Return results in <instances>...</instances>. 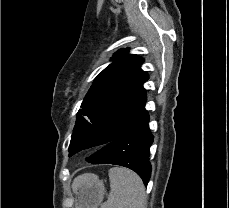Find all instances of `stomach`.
<instances>
[{
    "label": "stomach",
    "instance_id": "1",
    "mask_svg": "<svg viewBox=\"0 0 229 208\" xmlns=\"http://www.w3.org/2000/svg\"><path fill=\"white\" fill-rule=\"evenodd\" d=\"M75 208H99L105 196V186L97 176L75 188Z\"/></svg>",
    "mask_w": 229,
    "mask_h": 208
}]
</instances>
